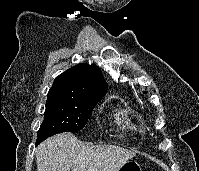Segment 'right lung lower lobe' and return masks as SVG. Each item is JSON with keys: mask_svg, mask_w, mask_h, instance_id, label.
<instances>
[{"mask_svg": "<svg viewBox=\"0 0 199 171\" xmlns=\"http://www.w3.org/2000/svg\"><path fill=\"white\" fill-rule=\"evenodd\" d=\"M43 141V140H42ZM41 140H37L36 141V145H38L39 143H41L42 142Z\"/></svg>", "mask_w": 199, "mask_h": 171, "instance_id": "98d812e1", "label": "right lung lower lobe"}]
</instances>
